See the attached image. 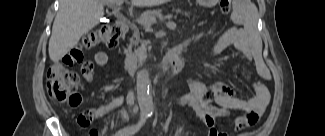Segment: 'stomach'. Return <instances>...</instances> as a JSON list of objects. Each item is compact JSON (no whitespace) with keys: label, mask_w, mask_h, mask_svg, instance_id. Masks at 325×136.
Returning <instances> with one entry per match:
<instances>
[{"label":"stomach","mask_w":325,"mask_h":136,"mask_svg":"<svg viewBox=\"0 0 325 136\" xmlns=\"http://www.w3.org/2000/svg\"><path fill=\"white\" fill-rule=\"evenodd\" d=\"M216 2H217V0H202V1H200V3L203 5H212Z\"/></svg>","instance_id":"obj_1"}]
</instances>
